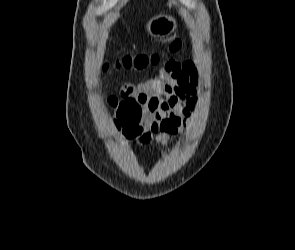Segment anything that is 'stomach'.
<instances>
[{
    "mask_svg": "<svg viewBox=\"0 0 295 250\" xmlns=\"http://www.w3.org/2000/svg\"><path fill=\"white\" fill-rule=\"evenodd\" d=\"M176 26V20L172 16L158 15L148 22L147 30L153 36L164 37L171 34Z\"/></svg>",
    "mask_w": 295,
    "mask_h": 250,
    "instance_id": "stomach-1",
    "label": "stomach"
}]
</instances>
